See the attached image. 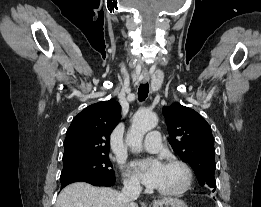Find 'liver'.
I'll list each match as a JSON object with an SVG mask.
<instances>
[{
  "label": "liver",
  "mask_w": 261,
  "mask_h": 207,
  "mask_svg": "<svg viewBox=\"0 0 261 207\" xmlns=\"http://www.w3.org/2000/svg\"><path fill=\"white\" fill-rule=\"evenodd\" d=\"M119 194L111 188L76 182L60 192L55 207H138L134 202L124 206Z\"/></svg>",
  "instance_id": "6515ba94"
}]
</instances>
